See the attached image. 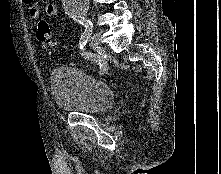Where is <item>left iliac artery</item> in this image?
I'll list each match as a JSON object with an SVG mask.
<instances>
[{
    "mask_svg": "<svg viewBox=\"0 0 221 174\" xmlns=\"http://www.w3.org/2000/svg\"><path fill=\"white\" fill-rule=\"evenodd\" d=\"M80 23L85 27V30H84L83 34L81 35L80 41H79V48L81 50V54L86 59L91 60L94 63L98 64L100 74L107 73L108 69H109V64H108L107 60L105 59V57H102V56L95 54V53L87 52L85 50V45L87 44V41H88L90 35L92 34L93 24L91 23L90 20H87V19H82Z\"/></svg>",
    "mask_w": 221,
    "mask_h": 174,
    "instance_id": "44dca946",
    "label": "left iliac artery"
}]
</instances>
